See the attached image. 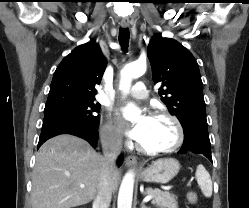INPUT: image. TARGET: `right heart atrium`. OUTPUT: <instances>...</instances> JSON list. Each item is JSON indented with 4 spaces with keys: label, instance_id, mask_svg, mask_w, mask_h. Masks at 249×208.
Masks as SVG:
<instances>
[{
    "label": "right heart atrium",
    "instance_id": "obj_1",
    "mask_svg": "<svg viewBox=\"0 0 249 208\" xmlns=\"http://www.w3.org/2000/svg\"><path fill=\"white\" fill-rule=\"evenodd\" d=\"M101 136L107 144L112 146H118L122 142V137L119 130L111 123H106L103 126L101 130Z\"/></svg>",
    "mask_w": 249,
    "mask_h": 208
}]
</instances>
